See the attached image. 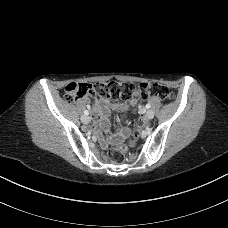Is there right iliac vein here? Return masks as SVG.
<instances>
[{"label":"right iliac vein","mask_w":228,"mask_h":228,"mask_svg":"<svg viewBox=\"0 0 228 228\" xmlns=\"http://www.w3.org/2000/svg\"><path fill=\"white\" fill-rule=\"evenodd\" d=\"M81 121L84 124H88L90 122V117L89 116H86V115H83V116H81Z\"/></svg>","instance_id":"63e3f726"}]
</instances>
